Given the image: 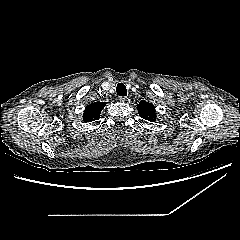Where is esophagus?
I'll return each mask as SVG.
<instances>
[{"instance_id": "1", "label": "esophagus", "mask_w": 240, "mask_h": 240, "mask_svg": "<svg viewBox=\"0 0 240 240\" xmlns=\"http://www.w3.org/2000/svg\"><path fill=\"white\" fill-rule=\"evenodd\" d=\"M119 102H126L127 101V97L124 96H120L118 97Z\"/></svg>"}]
</instances>
